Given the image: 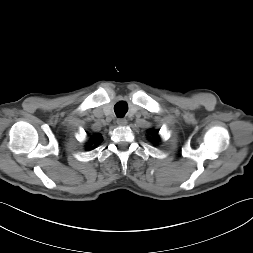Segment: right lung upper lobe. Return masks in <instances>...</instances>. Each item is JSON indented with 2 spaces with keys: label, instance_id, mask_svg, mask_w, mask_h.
Segmentation results:
<instances>
[{
  "label": "right lung upper lobe",
  "instance_id": "1",
  "mask_svg": "<svg viewBox=\"0 0 253 253\" xmlns=\"http://www.w3.org/2000/svg\"><path fill=\"white\" fill-rule=\"evenodd\" d=\"M102 141L101 136L98 134H95L90 137L88 147L89 149L92 148V145L95 143H100Z\"/></svg>",
  "mask_w": 253,
  "mask_h": 253
}]
</instances>
